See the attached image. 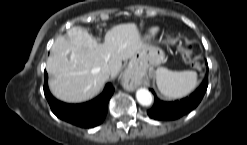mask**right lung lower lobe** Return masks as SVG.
I'll return each instance as SVG.
<instances>
[{
    "mask_svg": "<svg viewBox=\"0 0 247 145\" xmlns=\"http://www.w3.org/2000/svg\"><path fill=\"white\" fill-rule=\"evenodd\" d=\"M113 92L112 84L108 83L102 94L94 100L84 104H66L51 95L47 85V73L45 72L44 94L52 112L58 118L79 127L90 128L102 123L107 114L108 101Z\"/></svg>",
    "mask_w": 247,
    "mask_h": 145,
    "instance_id": "obj_1",
    "label": "right lung lower lobe"
}]
</instances>
